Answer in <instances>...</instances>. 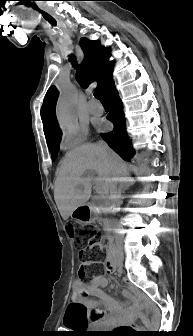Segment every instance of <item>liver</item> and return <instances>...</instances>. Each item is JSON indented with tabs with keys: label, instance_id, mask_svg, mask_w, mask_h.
Segmentation results:
<instances>
[{
	"label": "liver",
	"instance_id": "obj_1",
	"mask_svg": "<svg viewBox=\"0 0 193 336\" xmlns=\"http://www.w3.org/2000/svg\"><path fill=\"white\" fill-rule=\"evenodd\" d=\"M87 171H95L97 192L108 196L111 186L127 181L128 168L112 149L103 153L97 144H83L66 153L55 180L54 199L64 220L91 197L92 179L84 177Z\"/></svg>",
	"mask_w": 193,
	"mask_h": 336
}]
</instances>
